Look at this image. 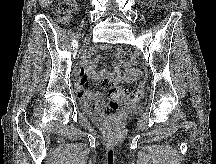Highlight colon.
<instances>
[{
    "mask_svg": "<svg viewBox=\"0 0 216 164\" xmlns=\"http://www.w3.org/2000/svg\"><path fill=\"white\" fill-rule=\"evenodd\" d=\"M75 8V0H62L58 5V12L61 22L66 23ZM101 85L103 88L108 90L109 95L115 102L132 104L137 102L143 95V91L139 88L127 89L122 86H115L107 79H104L101 82Z\"/></svg>",
    "mask_w": 216,
    "mask_h": 164,
    "instance_id": "obj_1",
    "label": "colon"
}]
</instances>
